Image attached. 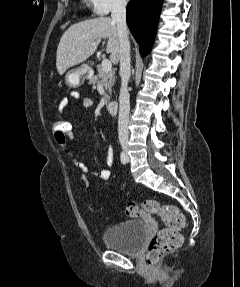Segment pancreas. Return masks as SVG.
Segmentation results:
<instances>
[{"label": "pancreas", "instance_id": "pancreas-1", "mask_svg": "<svg viewBox=\"0 0 240 287\" xmlns=\"http://www.w3.org/2000/svg\"><path fill=\"white\" fill-rule=\"evenodd\" d=\"M97 71L98 73L90 78V82L93 84H101L104 89L108 91L109 95L105 93L103 96L104 102L108 103L110 100L112 87L115 82V71L112 69L110 71H105L102 65L97 67Z\"/></svg>", "mask_w": 240, "mask_h": 287}]
</instances>
